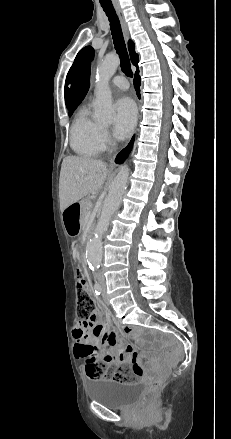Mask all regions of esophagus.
Returning a JSON list of instances; mask_svg holds the SVG:
<instances>
[{
	"instance_id": "obj_1",
	"label": "esophagus",
	"mask_w": 231,
	"mask_h": 439,
	"mask_svg": "<svg viewBox=\"0 0 231 439\" xmlns=\"http://www.w3.org/2000/svg\"><path fill=\"white\" fill-rule=\"evenodd\" d=\"M116 11L118 13V16H119V19H120V22H121L122 31H123V35H124L125 41L127 42L128 39H129V30H128V26H127V23H126L125 18H124V14H123V12H122L120 7H116ZM138 119H139V111H138L137 120ZM114 160H115V157L111 158V160L109 162V167L110 168H114L115 167V161Z\"/></svg>"
}]
</instances>
